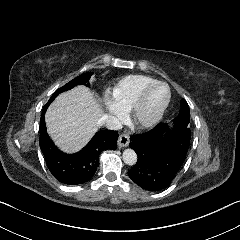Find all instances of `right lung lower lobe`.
Wrapping results in <instances>:
<instances>
[{
  "label": "right lung lower lobe",
  "mask_w": 240,
  "mask_h": 240,
  "mask_svg": "<svg viewBox=\"0 0 240 240\" xmlns=\"http://www.w3.org/2000/svg\"><path fill=\"white\" fill-rule=\"evenodd\" d=\"M45 112H42L40 119L39 144L49 171L63 184L79 185L89 181L97 170L100 154L104 150L117 148L118 132L99 131L80 152L66 154L58 150L49 138Z\"/></svg>",
  "instance_id": "obj_1"
}]
</instances>
